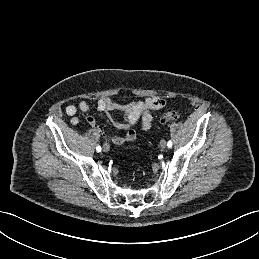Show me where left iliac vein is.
I'll return each instance as SVG.
<instances>
[{
	"label": "left iliac vein",
	"mask_w": 259,
	"mask_h": 259,
	"mask_svg": "<svg viewBox=\"0 0 259 259\" xmlns=\"http://www.w3.org/2000/svg\"><path fill=\"white\" fill-rule=\"evenodd\" d=\"M166 141L165 140H161V142H160V147L162 148V149H164V148H166Z\"/></svg>",
	"instance_id": "obj_1"
}]
</instances>
